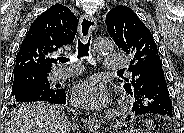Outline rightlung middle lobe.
<instances>
[{"label":"right lung middle lobe","mask_w":184,"mask_h":133,"mask_svg":"<svg viewBox=\"0 0 184 133\" xmlns=\"http://www.w3.org/2000/svg\"><path fill=\"white\" fill-rule=\"evenodd\" d=\"M49 75H38V74H31V73H22L14 75V81L12 86V96L15 93L22 92V91H34L39 94H51L55 92L53 88L50 87L48 81ZM24 104H11V109L18 110Z\"/></svg>","instance_id":"1"}]
</instances>
